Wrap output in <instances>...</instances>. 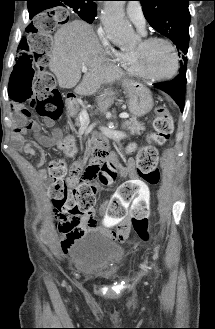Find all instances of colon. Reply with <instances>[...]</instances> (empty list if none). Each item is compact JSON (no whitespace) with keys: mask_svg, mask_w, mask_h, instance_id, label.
<instances>
[{"mask_svg":"<svg viewBox=\"0 0 215 329\" xmlns=\"http://www.w3.org/2000/svg\"><path fill=\"white\" fill-rule=\"evenodd\" d=\"M66 21H71V14L52 12L51 14H34L30 25H26V37L20 38V55H14V66L11 67L13 81L5 91L11 103H17V109H34L43 118L56 120L61 112V95L55 87L53 74L48 70L50 60V39L54 32H60ZM174 130V119L165 107L156 109L154 131L149 134L152 145L144 146L136 155L137 171L144 182L156 186L160 179L158 151L155 145H163ZM62 147L68 155H73L74 146L71 139H66ZM133 152L134 147L130 146ZM52 184L49 196L60 221L75 220L86 217L95 204L100 190L110 188L116 181L117 171L107 162L89 165L84 170H75L72 174L76 182L71 183L67 177L64 160H53L48 168ZM149 202V199H147ZM111 203V202H110ZM131 211V210H129ZM134 232L143 240H149L154 232L148 230V218H132Z\"/></svg>","mask_w":215,"mask_h":329,"instance_id":"5ec220e1","label":"colon"}]
</instances>
